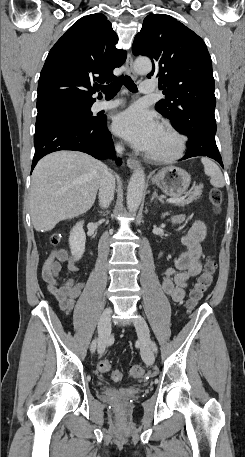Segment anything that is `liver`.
Segmentation results:
<instances>
[{
    "label": "liver",
    "mask_w": 245,
    "mask_h": 457,
    "mask_svg": "<svg viewBox=\"0 0 245 457\" xmlns=\"http://www.w3.org/2000/svg\"><path fill=\"white\" fill-rule=\"evenodd\" d=\"M108 166L78 150H57L32 172L29 206L35 231H52L65 218L91 208Z\"/></svg>",
    "instance_id": "6515ba94"
}]
</instances>
